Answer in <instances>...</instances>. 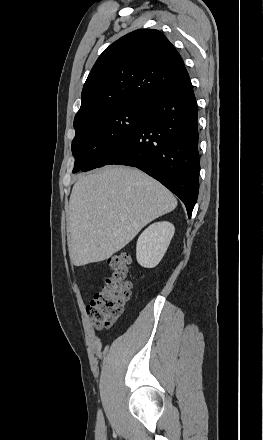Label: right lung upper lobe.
I'll list each match as a JSON object with an SVG mask.
<instances>
[{
	"mask_svg": "<svg viewBox=\"0 0 263 440\" xmlns=\"http://www.w3.org/2000/svg\"><path fill=\"white\" fill-rule=\"evenodd\" d=\"M188 77L180 54L165 35L154 29L133 31L97 59L83 86L74 127L107 109L147 102Z\"/></svg>",
	"mask_w": 263,
	"mask_h": 440,
	"instance_id": "obj_1",
	"label": "right lung upper lobe"
}]
</instances>
